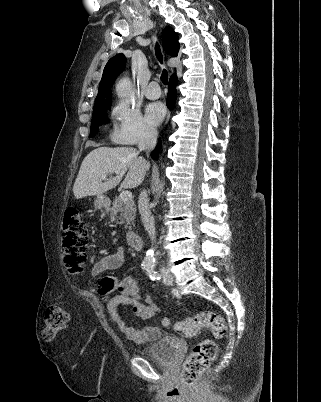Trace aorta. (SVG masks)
<instances>
[{
	"mask_svg": "<svg viewBox=\"0 0 321 402\" xmlns=\"http://www.w3.org/2000/svg\"><path fill=\"white\" fill-rule=\"evenodd\" d=\"M116 93H117L118 97H120V98H126V97L131 96L132 95L131 81L128 78L121 79L116 85ZM164 185H165L164 181L160 182V184L158 186V192L155 196V200L159 199L160 194L164 188ZM154 262H155V258H154L153 250L147 251L144 261H143L144 268L147 270H152L154 267Z\"/></svg>",
	"mask_w": 321,
	"mask_h": 402,
	"instance_id": "obj_1",
	"label": "aorta"
}]
</instances>
